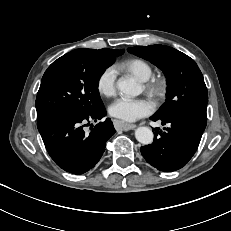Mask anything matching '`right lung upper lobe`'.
I'll return each instance as SVG.
<instances>
[{"mask_svg":"<svg viewBox=\"0 0 231 231\" xmlns=\"http://www.w3.org/2000/svg\"><path fill=\"white\" fill-rule=\"evenodd\" d=\"M103 55L116 59L117 56H120L124 53V50H113V49H100L98 50Z\"/></svg>","mask_w":231,"mask_h":231,"instance_id":"cb5924a9","label":"right lung upper lobe"}]
</instances>
